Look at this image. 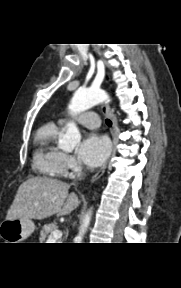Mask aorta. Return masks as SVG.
<instances>
[{
  "instance_id": "762f6f07",
  "label": "aorta",
  "mask_w": 181,
  "mask_h": 288,
  "mask_svg": "<svg viewBox=\"0 0 181 288\" xmlns=\"http://www.w3.org/2000/svg\"><path fill=\"white\" fill-rule=\"evenodd\" d=\"M106 98V93L101 89H79L74 93L68 108L73 114L80 113L98 103L103 102ZM80 140L81 134L77 126L74 123H68L66 133L60 139L59 145L64 150H71L78 143H80ZM91 216L92 209H89L84 216V219L79 229V233L75 237L76 243H82L83 237L90 225Z\"/></svg>"
}]
</instances>
